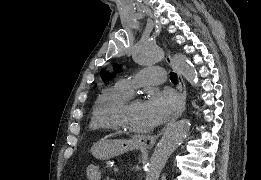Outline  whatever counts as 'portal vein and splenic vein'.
Masks as SVG:
<instances>
[{"label": "portal vein and splenic vein", "mask_w": 261, "mask_h": 180, "mask_svg": "<svg viewBox=\"0 0 261 180\" xmlns=\"http://www.w3.org/2000/svg\"><path fill=\"white\" fill-rule=\"evenodd\" d=\"M113 172L114 173H119L120 172L119 165H114Z\"/></svg>", "instance_id": "portal-vein-and-splenic-vein-1"}]
</instances>
